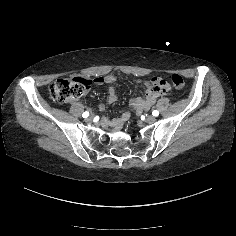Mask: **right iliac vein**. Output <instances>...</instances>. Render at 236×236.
Returning a JSON list of instances; mask_svg holds the SVG:
<instances>
[{
	"label": "right iliac vein",
	"instance_id": "obj_1",
	"mask_svg": "<svg viewBox=\"0 0 236 236\" xmlns=\"http://www.w3.org/2000/svg\"><path fill=\"white\" fill-rule=\"evenodd\" d=\"M86 121H87L88 123H91V122L93 121V117H92V116H89V117L86 119Z\"/></svg>",
	"mask_w": 236,
	"mask_h": 236
}]
</instances>
